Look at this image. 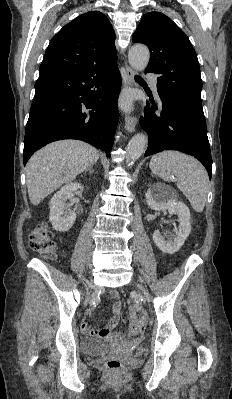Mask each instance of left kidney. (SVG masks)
<instances>
[{
    "instance_id": "5707ae66",
    "label": "left kidney",
    "mask_w": 232,
    "mask_h": 399,
    "mask_svg": "<svg viewBox=\"0 0 232 399\" xmlns=\"http://www.w3.org/2000/svg\"><path fill=\"white\" fill-rule=\"evenodd\" d=\"M167 192L168 190H165L162 184H152L151 188L147 190L145 198L151 209H168L169 213L178 215L179 225L176 233H170L167 235V239L163 237L159 229H155L153 233V241L162 251L175 253L183 245L191 231L190 209L183 201L169 200Z\"/></svg>"
}]
</instances>
